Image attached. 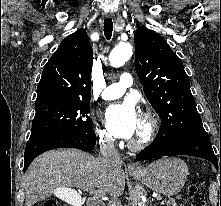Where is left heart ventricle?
I'll list each match as a JSON object with an SVG mask.
<instances>
[{"instance_id": "obj_1", "label": "left heart ventricle", "mask_w": 221, "mask_h": 206, "mask_svg": "<svg viewBox=\"0 0 221 206\" xmlns=\"http://www.w3.org/2000/svg\"><path fill=\"white\" fill-rule=\"evenodd\" d=\"M143 131H144V123L141 120L140 125H139V129H138L136 135L133 137L132 140H136V139L140 138L143 134Z\"/></svg>"}]
</instances>
